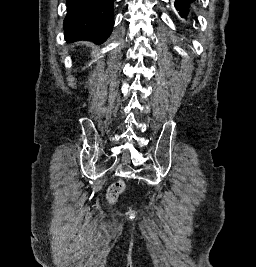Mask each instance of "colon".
<instances>
[{"instance_id": "obj_1", "label": "colon", "mask_w": 256, "mask_h": 267, "mask_svg": "<svg viewBox=\"0 0 256 267\" xmlns=\"http://www.w3.org/2000/svg\"><path fill=\"white\" fill-rule=\"evenodd\" d=\"M125 183L123 180H117L113 182L106 192V200L110 203L117 200V198L124 192Z\"/></svg>"}]
</instances>
